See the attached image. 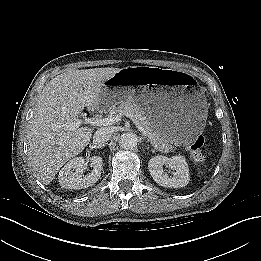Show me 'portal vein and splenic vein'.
<instances>
[{"mask_svg":"<svg viewBox=\"0 0 261 261\" xmlns=\"http://www.w3.org/2000/svg\"><path fill=\"white\" fill-rule=\"evenodd\" d=\"M121 115H111L107 118H87L84 117L83 119H74L69 125L68 128L70 130H75L81 126L82 123L90 124L93 126H108L112 125L115 122H118L121 120ZM126 117H129L133 123L136 125V127L139 129V131L144 135L147 136V132L145 128L141 125V123L133 117L131 114H126Z\"/></svg>","mask_w":261,"mask_h":261,"instance_id":"18ae733b","label":"portal vein and splenic vein"}]
</instances>
